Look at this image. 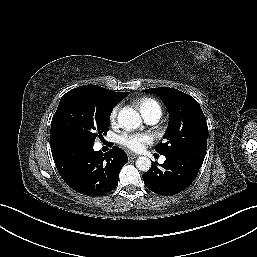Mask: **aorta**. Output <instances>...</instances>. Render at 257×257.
<instances>
[{
    "mask_svg": "<svg viewBox=\"0 0 257 257\" xmlns=\"http://www.w3.org/2000/svg\"><path fill=\"white\" fill-rule=\"evenodd\" d=\"M118 122L126 129H136L141 123L140 114L129 107L123 108L118 114ZM136 167L143 172H147L151 168V160L147 157H139L136 160Z\"/></svg>",
    "mask_w": 257,
    "mask_h": 257,
    "instance_id": "aorta-1",
    "label": "aorta"
}]
</instances>
